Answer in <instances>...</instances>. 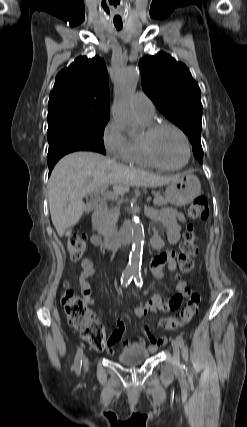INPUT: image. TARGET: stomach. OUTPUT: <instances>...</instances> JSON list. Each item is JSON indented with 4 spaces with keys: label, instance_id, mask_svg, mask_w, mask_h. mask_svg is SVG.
I'll list each match as a JSON object with an SVG mask.
<instances>
[{
    "label": "stomach",
    "instance_id": "obj_1",
    "mask_svg": "<svg viewBox=\"0 0 247 427\" xmlns=\"http://www.w3.org/2000/svg\"><path fill=\"white\" fill-rule=\"evenodd\" d=\"M201 193V184L192 172H184L168 184L165 192L167 202L175 206H185Z\"/></svg>",
    "mask_w": 247,
    "mask_h": 427
}]
</instances>
